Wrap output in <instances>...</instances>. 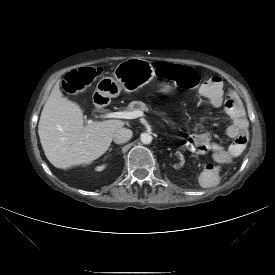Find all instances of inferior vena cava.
<instances>
[{
  "instance_id": "602c4592",
  "label": "inferior vena cava",
  "mask_w": 275,
  "mask_h": 275,
  "mask_svg": "<svg viewBox=\"0 0 275 275\" xmlns=\"http://www.w3.org/2000/svg\"><path fill=\"white\" fill-rule=\"evenodd\" d=\"M132 131L127 128H120L113 134V141L116 144H122L129 141L132 137Z\"/></svg>"
}]
</instances>
